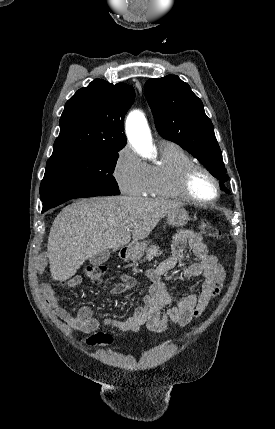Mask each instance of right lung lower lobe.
Instances as JSON below:
<instances>
[{"label": "right lung lower lobe", "mask_w": 275, "mask_h": 429, "mask_svg": "<svg viewBox=\"0 0 275 429\" xmlns=\"http://www.w3.org/2000/svg\"><path fill=\"white\" fill-rule=\"evenodd\" d=\"M94 196H99L96 194H83V193H68V194H63V195H59L57 197H54L52 199H49L47 201L43 202V209H42V213L47 211L50 208L56 207L70 199H74V198H81V197H94Z\"/></svg>", "instance_id": "right-lung-lower-lobe-1"}]
</instances>
